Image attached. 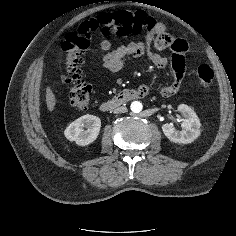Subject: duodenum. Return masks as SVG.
Masks as SVG:
<instances>
[{"label": "duodenum", "instance_id": "410a0bca", "mask_svg": "<svg viewBox=\"0 0 236 236\" xmlns=\"http://www.w3.org/2000/svg\"><path fill=\"white\" fill-rule=\"evenodd\" d=\"M144 96V93L141 92L140 89H124L117 93L112 98L103 101L100 104V109L102 111H109L115 108H118L132 100L138 99L140 97Z\"/></svg>", "mask_w": 236, "mask_h": 236}]
</instances>
